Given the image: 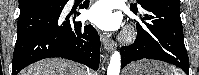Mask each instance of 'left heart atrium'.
Instances as JSON below:
<instances>
[{"label":"left heart atrium","mask_w":199,"mask_h":75,"mask_svg":"<svg viewBox=\"0 0 199 75\" xmlns=\"http://www.w3.org/2000/svg\"><path fill=\"white\" fill-rule=\"evenodd\" d=\"M89 20L103 30L113 31L119 28L121 19L113 13L107 2L102 1L94 5L88 12Z\"/></svg>","instance_id":"1"}]
</instances>
